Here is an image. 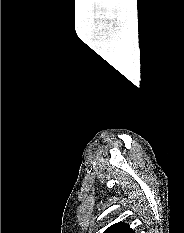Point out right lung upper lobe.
<instances>
[{
	"mask_svg": "<svg viewBox=\"0 0 184 233\" xmlns=\"http://www.w3.org/2000/svg\"><path fill=\"white\" fill-rule=\"evenodd\" d=\"M103 233H134L130 226L123 222L111 225Z\"/></svg>",
	"mask_w": 184,
	"mask_h": 233,
	"instance_id": "cb5924a9",
	"label": "right lung upper lobe"
}]
</instances>
